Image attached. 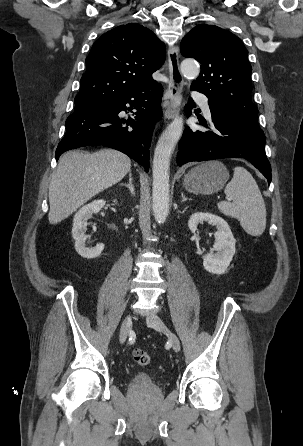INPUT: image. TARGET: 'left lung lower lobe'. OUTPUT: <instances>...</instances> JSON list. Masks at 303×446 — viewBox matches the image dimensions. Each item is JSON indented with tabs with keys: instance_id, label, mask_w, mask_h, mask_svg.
I'll return each mask as SVG.
<instances>
[{
	"instance_id": "0a47b994",
	"label": "left lung lower lobe",
	"mask_w": 303,
	"mask_h": 446,
	"mask_svg": "<svg viewBox=\"0 0 303 446\" xmlns=\"http://www.w3.org/2000/svg\"><path fill=\"white\" fill-rule=\"evenodd\" d=\"M208 104L214 126L211 131H194L189 127L185 129L179 142L178 165L190 161L244 158L270 183L271 166L265 154L264 132L232 113L223 104L210 99ZM194 106L193 100L189 99L186 105L188 115Z\"/></svg>"
}]
</instances>
